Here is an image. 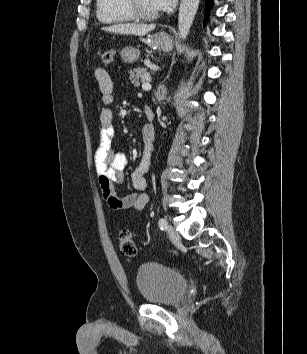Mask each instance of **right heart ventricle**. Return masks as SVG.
<instances>
[{
	"mask_svg": "<svg viewBox=\"0 0 307 354\" xmlns=\"http://www.w3.org/2000/svg\"><path fill=\"white\" fill-rule=\"evenodd\" d=\"M96 15L105 24L130 22L135 19L125 0H96Z\"/></svg>",
	"mask_w": 307,
	"mask_h": 354,
	"instance_id": "right-heart-ventricle-1",
	"label": "right heart ventricle"
}]
</instances>
